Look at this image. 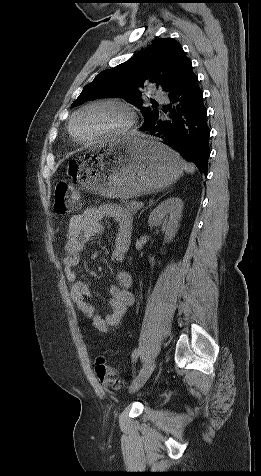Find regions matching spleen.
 Here are the masks:
<instances>
[{
  "label": "spleen",
  "mask_w": 261,
  "mask_h": 476,
  "mask_svg": "<svg viewBox=\"0 0 261 476\" xmlns=\"http://www.w3.org/2000/svg\"><path fill=\"white\" fill-rule=\"evenodd\" d=\"M183 164V169L188 172V173H194L195 171V166L193 164L187 163L185 161L182 162Z\"/></svg>",
  "instance_id": "3e777b00"
}]
</instances>
